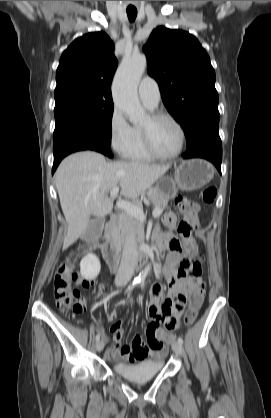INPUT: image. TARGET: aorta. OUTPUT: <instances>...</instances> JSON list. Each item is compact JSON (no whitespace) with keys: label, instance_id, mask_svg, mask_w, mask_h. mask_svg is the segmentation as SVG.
<instances>
[{"label":"aorta","instance_id":"obj_1","mask_svg":"<svg viewBox=\"0 0 271 418\" xmlns=\"http://www.w3.org/2000/svg\"><path fill=\"white\" fill-rule=\"evenodd\" d=\"M146 65L147 60L143 54H136L124 59L116 72L113 82L114 104L134 124L142 123L147 119V114L141 106L137 95V87ZM150 270L151 265L148 264L139 275V278L145 279Z\"/></svg>","mask_w":271,"mask_h":418}]
</instances>
